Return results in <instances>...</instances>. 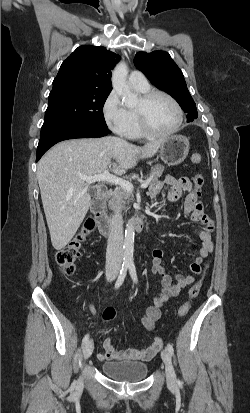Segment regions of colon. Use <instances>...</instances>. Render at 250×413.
Segmentation results:
<instances>
[{"instance_id": "obj_1", "label": "colon", "mask_w": 250, "mask_h": 413, "mask_svg": "<svg viewBox=\"0 0 250 413\" xmlns=\"http://www.w3.org/2000/svg\"><path fill=\"white\" fill-rule=\"evenodd\" d=\"M201 155L194 153L191 156V162L193 164H199L201 162ZM204 179L201 174H196L193 178V195L198 198L201 194V188L203 186ZM94 229V221L89 219L86 221L82 232L76 236L67 246L59 250L56 254V262L60 268L62 274L70 276L75 271V261L81 254V246L87 235ZM202 285V278L199 279L189 290L188 300L180 307L179 316H185L193 302V300L199 295ZM115 318V312L113 309L108 308L103 313L104 320H112ZM151 345L156 349H161L163 346V340L160 337L154 338Z\"/></svg>"}]
</instances>
